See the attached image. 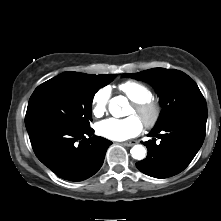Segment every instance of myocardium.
Returning a JSON list of instances; mask_svg holds the SVG:
<instances>
[{"mask_svg": "<svg viewBox=\"0 0 221 221\" xmlns=\"http://www.w3.org/2000/svg\"><path fill=\"white\" fill-rule=\"evenodd\" d=\"M132 107L143 118L142 122L147 128L154 127L160 120L162 108L155 100L133 102Z\"/></svg>", "mask_w": 221, "mask_h": 221, "instance_id": "obj_1", "label": "myocardium"}]
</instances>
